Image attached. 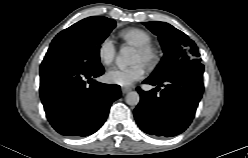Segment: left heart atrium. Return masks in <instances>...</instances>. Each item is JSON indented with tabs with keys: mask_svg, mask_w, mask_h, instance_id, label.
I'll list each match as a JSON object with an SVG mask.
<instances>
[{
	"mask_svg": "<svg viewBox=\"0 0 248 158\" xmlns=\"http://www.w3.org/2000/svg\"><path fill=\"white\" fill-rule=\"evenodd\" d=\"M145 75V66L138 62L129 67H115L106 73V81L110 84L128 86L142 79Z\"/></svg>",
	"mask_w": 248,
	"mask_h": 158,
	"instance_id": "39dd6f15",
	"label": "left heart atrium"
}]
</instances>
